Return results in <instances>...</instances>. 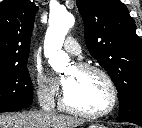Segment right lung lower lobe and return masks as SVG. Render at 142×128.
<instances>
[{"label": "right lung lower lobe", "mask_w": 142, "mask_h": 128, "mask_svg": "<svg viewBox=\"0 0 142 128\" xmlns=\"http://www.w3.org/2000/svg\"><path fill=\"white\" fill-rule=\"evenodd\" d=\"M22 109L21 107H15V106H4L0 107V112H11V111H18Z\"/></svg>", "instance_id": "right-lung-lower-lobe-1"}]
</instances>
